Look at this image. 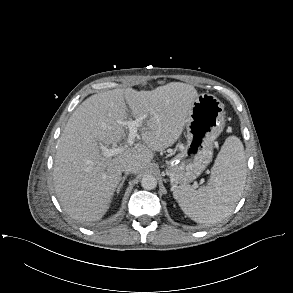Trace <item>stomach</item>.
I'll return each instance as SVG.
<instances>
[{
  "instance_id": "obj_1",
  "label": "stomach",
  "mask_w": 293,
  "mask_h": 293,
  "mask_svg": "<svg viewBox=\"0 0 293 293\" xmlns=\"http://www.w3.org/2000/svg\"><path fill=\"white\" fill-rule=\"evenodd\" d=\"M225 126L224 104L212 94H200L186 123L187 141L168 164L171 184H188L212 160L213 145Z\"/></svg>"
}]
</instances>
